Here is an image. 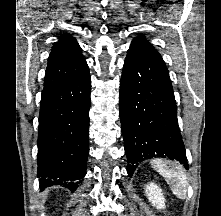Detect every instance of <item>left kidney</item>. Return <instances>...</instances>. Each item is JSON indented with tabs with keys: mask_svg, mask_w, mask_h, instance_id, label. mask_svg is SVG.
<instances>
[{
	"mask_svg": "<svg viewBox=\"0 0 221 216\" xmlns=\"http://www.w3.org/2000/svg\"><path fill=\"white\" fill-rule=\"evenodd\" d=\"M148 200L155 206L157 209L165 208V198L160 187L154 182H150L146 185L145 189Z\"/></svg>",
	"mask_w": 221,
	"mask_h": 216,
	"instance_id": "obj_1",
	"label": "left kidney"
}]
</instances>
